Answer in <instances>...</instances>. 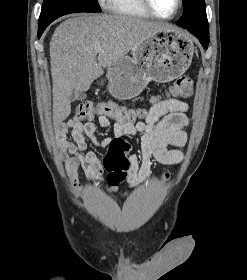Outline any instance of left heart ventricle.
<instances>
[{"instance_id": "b2bd125f", "label": "left heart ventricle", "mask_w": 247, "mask_h": 280, "mask_svg": "<svg viewBox=\"0 0 247 280\" xmlns=\"http://www.w3.org/2000/svg\"><path fill=\"white\" fill-rule=\"evenodd\" d=\"M155 12L160 16H170L176 9V0H150Z\"/></svg>"}]
</instances>
